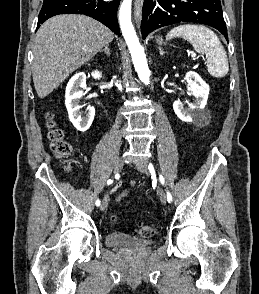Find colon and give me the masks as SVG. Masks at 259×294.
<instances>
[{
	"mask_svg": "<svg viewBox=\"0 0 259 294\" xmlns=\"http://www.w3.org/2000/svg\"><path fill=\"white\" fill-rule=\"evenodd\" d=\"M49 126V139L51 142V149L53 153L60 159H67L71 153V146L65 139L63 132L55 127L53 122V115L49 113L47 115ZM112 220L115 217L112 216ZM156 233V227L149 224H140L134 231V235L141 238L152 237Z\"/></svg>",
	"mask_w": 259,
	"mask_h": 294,
	"instance_id": "1",
	"label": "colon"
}]
</instances>
